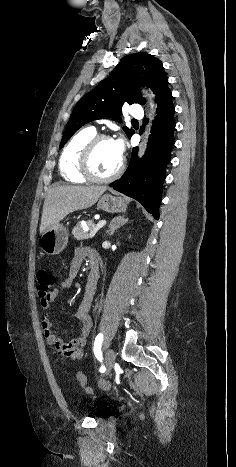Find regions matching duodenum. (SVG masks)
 Wrapping results in <instances>:
<instances>
[{
  "label": "duodenum",
  "instance_id": "duodenum-1",
  "mask_svg": "<svg viewBox=\"0 0 236 467\" xmlns=\"http://www.w3.org/2000/svg\"><path fill=\"white\" fill-rule=\"evenodd\" d=\"M88 277L90 280L95 281L98 279V266L94 263L91 264Z\"/></svg>",
  "mask_w": 236,
  "mask_h": 467
}]
</instances>
